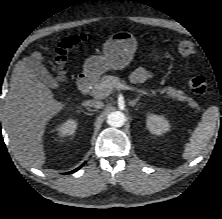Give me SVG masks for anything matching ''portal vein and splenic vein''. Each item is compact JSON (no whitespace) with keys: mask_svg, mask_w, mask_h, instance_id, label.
<instances>
[{"mask_svg":"<svg viewBox=\"0 0 222 219\" xmlns=\"http://www.w3.org/2000/svg\"><path fill=\"white\" fill-rule=\"evenodd\" d=\"M113 88L122 89V90H133L132 87L125 85L121 82L115 83L114 86L109 87V91H111Z\"/></svg>","mask_w":222,"mask_h":219,"instance_id":"obj_1","label":"portal vein and splenic vein"}]
</instances>
